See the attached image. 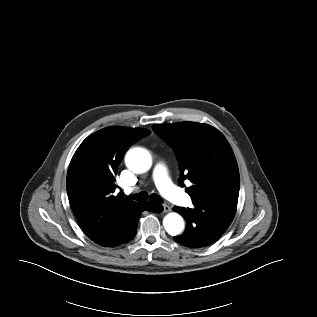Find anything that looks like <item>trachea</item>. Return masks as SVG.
<instances>
[{
	"label": "trachea",
	"mask_w": 317,
	"mask_h": 317,
	"mask_svg": "<svg viewBox=\"0 0 317 317\" xmlns=\"http://www.w3.org/2000/svg\"><path fill=\"white\" fill-rule=\"evenodd\" d=\"M149 197V200L155 203H162V199L159 195L157 194H151L150 196H148V193L145 191H142L140 193H137L133 196H131L132 199L134 200H138V201H142V200H147Z\"/></svg>",
	"instance_id": "1"
}]
</instances>
